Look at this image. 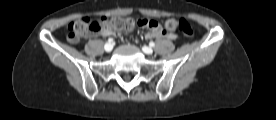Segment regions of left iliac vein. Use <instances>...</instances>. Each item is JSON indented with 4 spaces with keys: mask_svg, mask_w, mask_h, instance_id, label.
<instances>
[{
    "mask_svg": "<svg viewBox=\"0 0 276 120\" xmlns=\"http://www.w3.org/2000/svg\"><path fill=\"white\" fill-rule=\"evenodd\" d=\"M142 49H143V52L148 55H151L153 53V49L150 47L144 46Z\"/></svg>",
    "mask_w": 276,
    "mask_h": 120,
    "instance_id": "left-iliac-vein-1",
    "label": "left iliac vein"
}]
</instances>
